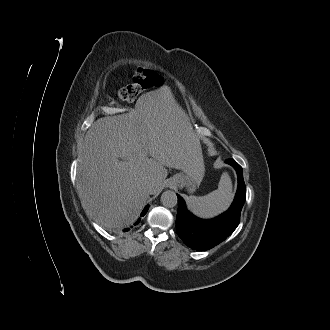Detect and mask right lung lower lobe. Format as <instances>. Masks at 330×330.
<instances>
[{
	"mask_svg": "<svg viewBox=\"0 0 330 330\" xmlns=\"http://www.w3.org/2000/svg\"><path fill=\"white\" fill-rule=\"evenodd\" d=\"M148 208H149V206L147 205L144 208V210L142 211L141 216H144L146 214V212L148 211ZM139 222H140V219L134 225H137ZM128 230H129V228L125 229L124 231H128Z\"/></svg>",
	"mask_w": 330,
	"mask_h": 330,
	"instance_id": "98d812e1",
	"label": "right lung lower lobe"
}]
</instances>
